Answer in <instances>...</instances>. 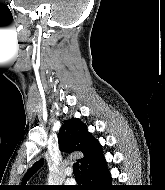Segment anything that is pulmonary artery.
I'll use <instances>...</instances> for the list:
<instances>
[{
    "instance_id": "obj_1",
    "label": "pulmonary artery",
    "mask_w": 165,
    "mask_h": 190,
    "mask_svg": "<svg viewBox=\"0 0 165 190\" xmlns=\"http://www.w3.org/2000/svg\"><path fill=\"white\" fill-rule=\"evenodd\" d=\"M66 174H67V176H68V178L66 179V183H67V184H72V183H74V179H73L72 177H70L71 174H72L71 170H67Z\"/></svg>"
}]
</instances>
